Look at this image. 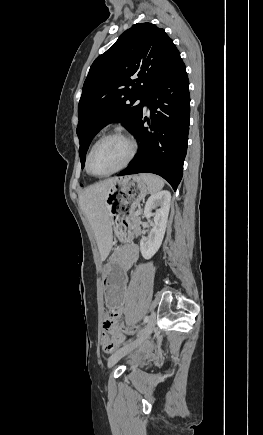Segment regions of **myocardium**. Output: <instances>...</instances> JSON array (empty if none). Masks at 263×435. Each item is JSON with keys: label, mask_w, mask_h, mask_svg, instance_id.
I'll list each match as a JSON object with an SVG mask.
<instances>
[{"label": "myocardium", "mask_w": 263, "mask_h": 435, "mask_svg": "<svg viewBox=\"0 0 263 435\" xmlns=\"http://www.w3.org/2000/svg\"><path fill=\"white\" fill-rule=\"evenodd\" d=\"M111 137H117V138H120V139L126 141L128 143V145H129V148H130L129 155H128L127 159L125 160V162L120 167H118V168H116V169H114V170H112L110 172H107V173H102V174L95 173L91 169V166H90L91 155H92L94 149L96 148V146L100 142H102L105 139L111 138ZM136 153H137V144H136L135 140L131 136H129L128 134H126L124 132H121V131H110V132H107V133L103 134L102 136H100L94 142V144L91 146V148H90V150H89V152L87 154V157H86V170H87V172L90 175H92L94 177H107V176L116 174L118 172H121L122 170H124L126 167L129 166V164L134 159Z\"/></svg>", "instance_id": "myocardium-1"}]
</instances>
